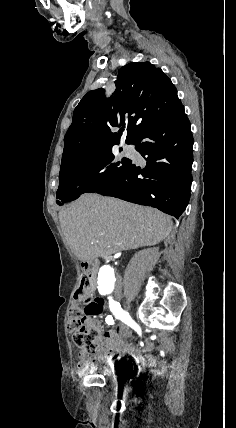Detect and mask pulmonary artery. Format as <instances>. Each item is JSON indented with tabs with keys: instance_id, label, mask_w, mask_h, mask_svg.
<instances>
[{
	"instance_id": "1",
	"label": "pulmonary artery",
	"mask_w": 236,
	"mask_h": 428,
	"mask_svg": "<svg viewBox=\"0 0 236 428\" xmlns=\"http://www.w3.org/2000/svg\"><path fill=\"white\" fill-rule=\"evenodd\" d=\"M124 150H125V152H127V153H128V152H130V151H131V148H130V147H125V148H124Z\"/></svg>"
}]
</instances>
